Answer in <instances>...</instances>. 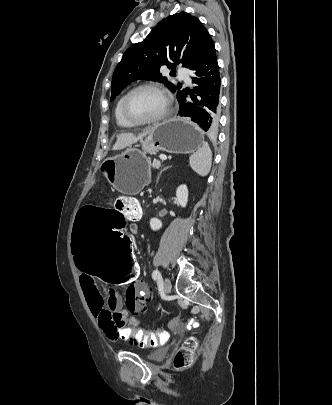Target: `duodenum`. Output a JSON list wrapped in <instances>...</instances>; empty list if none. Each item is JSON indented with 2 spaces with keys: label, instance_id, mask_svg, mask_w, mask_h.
<instances>
[{
  "label": "duodenum",
  "instance_id": "1",
  "mask_svg": "<svg viewBox=\"0 0 332 405\" xmlns=\"http://www.w3.org/2000/svg\"><path fill=\"white\" fill-rule=\"evenodd\" d=\"M140 218H141V215L135 216V219H136V220H139Z\"/></svg>",
  "mask_w": 332,
  "mask_h": 405
}]
</instances>
